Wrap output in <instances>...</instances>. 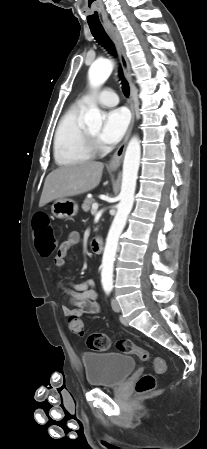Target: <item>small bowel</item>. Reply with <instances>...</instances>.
<instances>
[{
	"mask_svg": "<svg viewBox=\"0 0 207 449\" xmlns=\"http://www.w3.org/2000/svg\"><path fill=\"white\" fill-rule=\"evenodd\" d=\"M80 237L77 232H71L67 238L60 244L54 263L58 267L65 265L69 251L79 243ZM57 289L69 296L74 308L64 305L62 311L65 316H81L82 314H97L99 312V304L97 293L94 289L95 282L92 279H86L79 283L69 282V286L64 285L61 281L56 282Z\"/></svg>",
	"mask_w": 207,
	"mask_h": 449,
	"instance_id": "small-bowel-1",
	"label": "small bowel"
}]
</instances>
